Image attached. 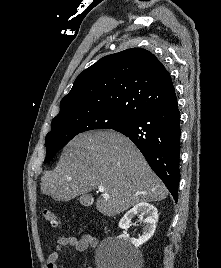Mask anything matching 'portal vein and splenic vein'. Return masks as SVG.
Masks as SVG:
<instances>
[{
  "label": "portal vein and splenic vein",
  "mask_w": 221,
  "mask_h": 268,
  "mask_svg": "<svg viewBox=\"0 0 221 268\" xmlns=\"http://www.w3.org/2000/svg\"><path fill=\"white\" fill-rule=\"evenodd\" d=\"M98 190H99V192L103 193L102 196H103L105 199H108V198H109V195H108L107 193H104V187L99 186V187H98Z\"/></svg>",
  "instance_id": "portal-vein-and-splenic-vein-1"
}]
</instances>
